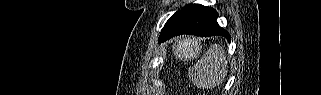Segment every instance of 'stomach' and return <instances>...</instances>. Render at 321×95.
I'll list each match as a JSON object with an SVG mask.
<instances>
[{
    "label": "stomach",
    "mask_w": 321,
    "mask_h": 95,
    "mask_svg": "<svg viewBox=\"0 0 321 95\" xmlns=\"http://www.w3.org/2000/svg\"><path fill=\"white\" fill-rule=\"evenodd\" d=\"M174 52L181 58H193L200 53V45L191 39H183L177 42Z\"/></svg>",
    "instance_id": "0dacf381"
}]
</instances>
